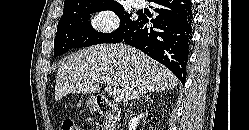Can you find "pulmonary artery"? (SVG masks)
<instances>
[{
  "label": "pulmonary artery",
  "mask_w": 249,
  "mask_h": 130,
  "mask_svg": "<svg viewBox=\"0 0 249 130\" xmlns=\"http://www.w3.org/2000/svg\"><path fill=\"white\" fill-rule=\"evenodd\" d=\"M133 3L136 8H141L144 6V0H133Z\"/></svg>",
  "instance_id": "pulmonary-artery-1"
}]
</instances>
